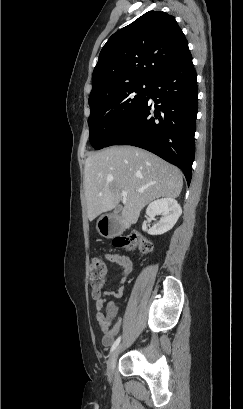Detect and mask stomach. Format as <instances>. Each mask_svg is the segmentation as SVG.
<instances>
[{
	"label": "stomach",
	"mask_w": 243,
	"mask_h": 409,
	"mask_svg": "<svg viewBox=\"0 0 243 409\" xmlns=\"http://www.w3.org/2000/svg\"><path fill=\"white\" fill-rule=\"evenodd\" d=\"M97 231L104 237H110L112 232L108 226L103 223V217L97 221L96 224Z\"/></svg>",
	"instance_id": "1"
}]
</instances>
